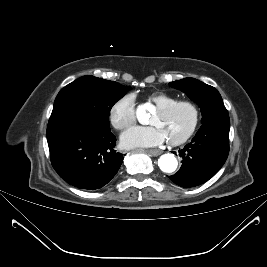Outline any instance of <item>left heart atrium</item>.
I'll return each instance as SVG.
<instances>
[{"label":"left heart atrium","mask_w":267,"mask_h":267,"mask_svg":"<svg viewBox=\"0 0 267 267\" xmlns=\"http://www.w3.org/2000/svg\"><path fill=\"white\" fill-rule=\"evenodd\" d=\"M166 139L163 130L157 126L133 127L121 136V142L125 147H153Z\"/></svg>","instance_id":"left-heart-atrium-1"}]
</instances>
